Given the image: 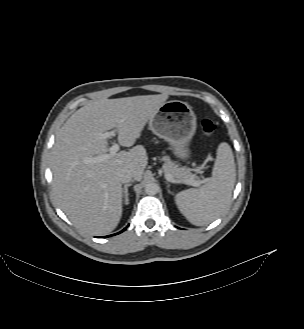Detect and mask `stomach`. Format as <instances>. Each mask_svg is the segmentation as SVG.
<instances>
[{
	"label": "stomach",
	"instance_id": "0dacf381",
	"mask_svg": "<svg viewBox=\"0 0 304 329\" xmlns=\"http://www.w3.org/2000/svg\"><path fill=\"white\" fill-rule=\"evenodd\" d=\"M151 131L170 145L181 160L190 157L189 143L196 131V115L190 105L179 100L165 102L149 120Z\"/></svg>",
	"mask_w": 304,
	"mask_h": 329
}]
</instances>
